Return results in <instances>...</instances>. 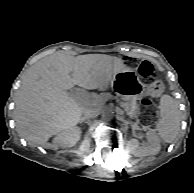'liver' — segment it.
<instances>
[{
    "mask_svg": "<svg viewBox=\"0 0 194 193\" xmlns=\"http://www.w3.org/2000/svg\"><path fill=\"white\" fill-rule=\"evenodd\" d=\"M122 70L123 61L106 54L74 57L57 52L41 59L25 73L16 94L19 134L31 146L51 148L47 142L50 137L81 122L83 105L67 90L75 85L100 89Z\"/></svg>",
    "mask_w": 194,
    "mask_h": 193,
    "instance_id": "1",
    "label": "liver"
}]
</instances>
